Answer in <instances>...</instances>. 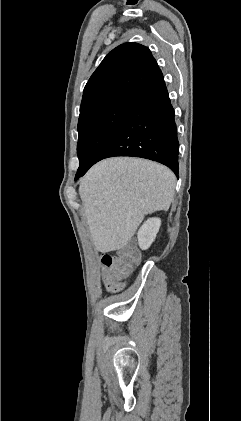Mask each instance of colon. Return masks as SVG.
Segmentation results:
<instances>
[{
  "instance_id": "1",
  "label": "colon",
  "mask_w": 241,
  "mask_h": 421,
  "mask_svg": "<svg viewBox=\"0 0 241 421\" xmlns=\"http://www.w3.org/2000/svg\"><path fill=\"white\" fill-rule=\"evenodd\" d=\"M140 0H130L138 3ZM139 255L134 248L120 249L115 254H106L102 258L105 280L110 285L120 286V281L125 279L136 267Z\"/></svg>"
}]
</instances>
